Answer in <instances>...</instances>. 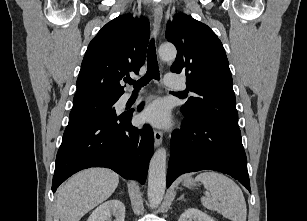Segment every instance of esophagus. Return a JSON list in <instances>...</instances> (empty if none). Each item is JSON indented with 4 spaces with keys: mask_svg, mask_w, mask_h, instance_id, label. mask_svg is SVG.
<instances>
[{
    "mask_svg": "<svg viewBox=\"0 0 307 221\" xmlns=\"http://www.w3.org/2000/svg\"><path fill=\"white\" fill-rule=\"evenodd\" d=\"M163 17V9L160 5H156L154 8V22H153V31L155 37H158L160 34L161 21ZM163 133L159 130H154V146L157 148L162 143Z\"/></svg>",
    "mask_w": 307,
    "mask_h": 221,
    "instance_id": "34e87169",
    "label": "esophagus"
}]
</instances>
